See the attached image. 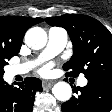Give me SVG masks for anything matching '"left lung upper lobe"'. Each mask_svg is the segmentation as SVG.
I'll return each mask as SVG.
<instances>
[{
  "instance_id": "left-lung-upper-lobe-1",
  "label": "left lung upper lobe",
  "mask_w": 112,
  "mask_h": 112,
  "mask_svg": "<svg viewBox=\"0 0 112 112\" xmlns=\"http://www.w3.org/2000/svg\"><path fill=\"white\" fill-rule=\"evenodd\" d=\"M46 22L65 28L73 43V56L63 66L67 76L84 73L87 79H112V34L104 25L75 14L48 17Z\"/></svg>"
}]
</instances>
